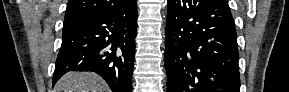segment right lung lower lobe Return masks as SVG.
Returning <instances> with one entry per match:
<instances>
[{"label":"right lung lower lobe","mask_w":289,"mask_h":92,"mask_svg":"<svg viewBox=\"0 0 289 92\" xmlns=\"http://www.w3.org/2000/svg\"><path fill=\"white\" fill-rule=\"evenodd\" d=\"M137 0L63 27L53 85L69 71L99 74L113 92H132Z\"/></svg>","instance_id":"right-lung-lower-lobe-1"}]
</instances>
